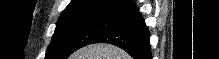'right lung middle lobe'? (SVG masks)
I'll return each mask as SVG.
<instances>
[{"label":"right lung middle lobe","instance_id":"obj_1","mask_svg":"<svg viewBox=\"0 0 219 59\" xmlns=\"http://www.w3.org/2000/svg\"><path fill=\"white\" fill-rule=\"evenodd\" d=\"M127 17L111 11H84L60 17L45 59H67L74 51L93 44Z\"/></svg>","mask_w":219,"mask_h":59}]
</instances>
